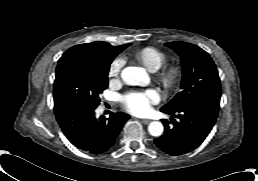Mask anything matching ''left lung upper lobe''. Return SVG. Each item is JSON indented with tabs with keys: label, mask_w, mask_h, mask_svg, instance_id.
Returning a JSON list of instances; mask_svg holds the SVG:
<instances>
[{
	"label": "left lung upper lobe",
	"mask_w": 258,
	"mask_h": 181,
	"mask_svg": "<svg viewBox=\"0 0 258 181\" xmlns=\"http://www.w3.org/2000/svg\"><path fill=\"white\" fill-rule=\"evenodd\" d=\"M165 45L180 55L183 77L182 91L161 109L174 112L201 102L220 103V78L210 55L186 42L175 41Z\"/></svg>",
	"instance_id": "1"
}]
</instances>
